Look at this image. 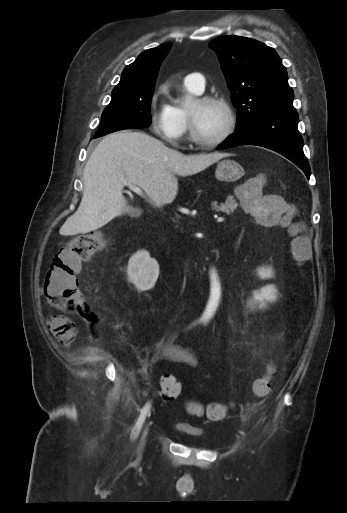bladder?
Returning a JSON list of instances; mask_svg holds the SVG:
<instances>
[{"label":"bladder","instance_id":"31cf9c89","mask_svg":"<svg viewBox=\"0 0 347 513\" xmlns=\"http://www.w3.org/2000/svg\"><path fill=\"white\" fill-rule=\"evenodd\" d=\"M177 429L180 432L186 433L188 435H194V436H201L202 435V431L200 429H197V428H195V427H193L190 424L185 423V422L178 423L177 424Z\"/></svg>","mask_w":347,"mask_h":513}]
</instances>
